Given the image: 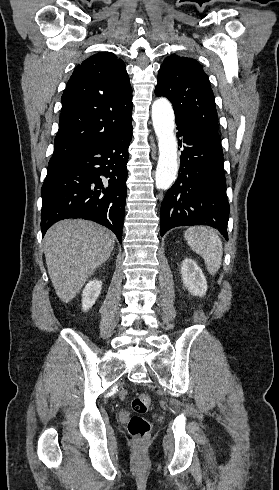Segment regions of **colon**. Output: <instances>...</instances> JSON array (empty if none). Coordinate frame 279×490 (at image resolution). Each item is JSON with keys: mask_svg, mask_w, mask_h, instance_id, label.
<instances>
[{"mask_svg": "<svg viewBox=\"0 0 279 490\" xmlns=\"http://www.w3.org/2000/svg\"><path fill=\"white\" fill-rule=\"evenodd\" d=\"M152 399L148 394H141L133 399V415L128 421V433L132 442H149L150 423L144 414L147 413Z\"/></svg>", "mask_w": 279, "mask_h": 490, "instance_id": "5ec220e1", "label": "colon"}]
</instances>
